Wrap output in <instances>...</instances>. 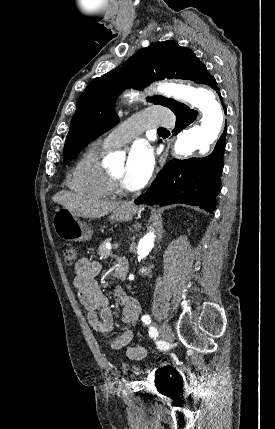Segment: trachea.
<instances>
[{
    "instance_id": "3493384b",
    "label": "trachea",
    "mask_w": 275,
    "mask_h": 429,
    "mask_svg": "<svg viewBox=\"0 0 275 429\" xmlns=\"http://www.w3.org/2000/svg\"><path fill=\"white\" fill-rule=\"evenodd\" d=\"M158 131H166L165 128H158Z\"/></svg>"
}]
</instances>
